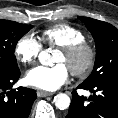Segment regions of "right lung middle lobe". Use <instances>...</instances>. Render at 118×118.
Returning a JSON list of instances; mask_svg holds the SVG:
<instances>
[{"label": "right lung middle lobe", "mask_w": 118, "mask_h": 118, "mask_svg": "<svg viewBox=\"0 0 118 118\" xmlns=\"http://www.w3.org/2000/svg\"><path fill=\"white\" fill-rule=\"evenodd\" d=\"M31 28L32 25L0 20V75L19 71L14 55L15 47L18 40Z\"/></svg>", "instance_id": "obj_1"}]
</instances>
